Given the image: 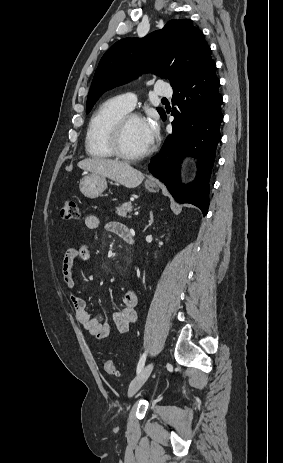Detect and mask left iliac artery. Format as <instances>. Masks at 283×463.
Returning a JSON list of instances; mask_svg holds the SVG:
<instances>
[{"label":"left iliac artery","instance_id":"obj_1","mask_svg":"<svg viewBox=\"0 0 283 463\" xmlns=\"http://www.w3.org/2000/svg\"><path fill=\"white\" fill-rule=\"evenodd\" d=\"M146 355H147V353L145 352V353L141 356V358H140V360H139V362H138V365H137V374L140 373V371H141V370L143 369V367H144V364H145V361H146Z\"/></svg>","mask_w":283,"mask_h":463}]
</instances>
